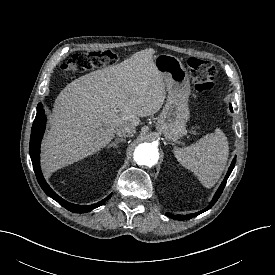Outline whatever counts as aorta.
<instances>
[{
	"label": "aorta",
	"instance_id": "obj_1",
	"mask_svg": "<svg viewBox=\"0 0 275 275\" xmlns=\"http://www.w3.org/2000/svg\"><path fill=\"white\" fill-rule=\"evenodd\" d=\"M159 159L158 148L151 143L139 144L134 151V161L138 165L151 167Z\"/></svg>",
	"mask_w": 275,
	"mask_h": 275
}]
</instances>
